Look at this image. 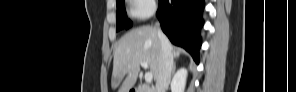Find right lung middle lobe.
Masks as SVG:
<instances>
[{"instance_id": "right-lung-middle-lobe-1", "label": "right lung middle lobe", "mask_w": 296, "mask_h": 92, "mask_svg": "<svg viewBox=\"0 0 296 92\" xmlns=\"http://www.w3.org/2000/svg\"><path fill=\"white\" fill-rule=\"evenodd\" d=\"M132 26V23L127 18L125 11L124 0L117 1V20H116V31L121 29H128Z\"/></svg>"}]
</instances>
